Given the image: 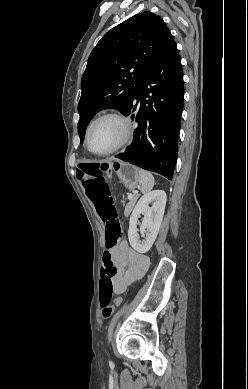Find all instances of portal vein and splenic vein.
I'll list each match as a JSON object with an SVG mask.
<instances>
[{"label": "portal vein and splenic vein", "instance_id": "obj_1", "mask_svg": "<svg viewBox=\"0 0 248 389\" xmlns=\"http://www.w3.org/2000/svg\"><path fill=\"white\" fill-rule=\"evenodd\" d=\"M128 198H129V199H132V198H133V194H131V193L128 194Z\"/></svg>", "mask_w": 248, "mask_h": 389}]
</instances>
